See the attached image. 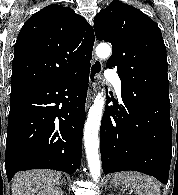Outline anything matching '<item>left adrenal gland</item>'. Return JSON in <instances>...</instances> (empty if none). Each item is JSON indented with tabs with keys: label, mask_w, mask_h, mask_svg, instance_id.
I'll list each match as a JSON object with an SVG mask.
<instances>
[{
	"label": "left adrenal gland",
	"mask_w": 178,
	"mask_h": 195,
	"mask_svg": "<svg viewBox=\"0 0 178 195\" xmlns=\"http://www.w3.org/2000/svg\"><path fill=\"white\" fill-rule=\"evenodd\" d=\"M112 186H115L114 185V181L112 180V181H110V186L109 187H112Z\"/></svg>",
	"instance_id": "obj_1"
}]
</instances>
